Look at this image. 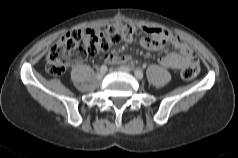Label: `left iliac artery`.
I'll return each mask as SVG.
<instances>
[{
	"label": "left iliac artery",
	"instance_id": "1",
	"mask_svg": "<svg viewBox=\"0 0 238 158\" xmlns=\"http://www.w3.org/2000/svg\"><path fill=\"white\" fill-rule=\"evenodd\" d=\"M135 73V76L138 78V79H142L143 78V72L139 69H135L134 71Z\"/></svg>",
	"mask_w": 238,
	"mask_h": 158
}]
</instances>
